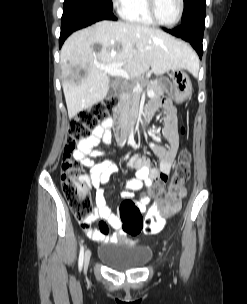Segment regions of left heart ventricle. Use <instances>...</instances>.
<instances>
[{
  "mask_svg": "<svg viewBox=\"0 0 247 304\" xmlns=\"http://www.w3.org/2000/svg\"><path fill=\"white\" fill-rule=\"evenodd\" d=\"M156 13L163 23L173 22L179 13V0H155Z\"/></svg>",
  "mask_w": 247,
  "mask_h": 304,
  "instance_id": "obj_1",
  "label": "left heart ventricle"
}]
</instances>
